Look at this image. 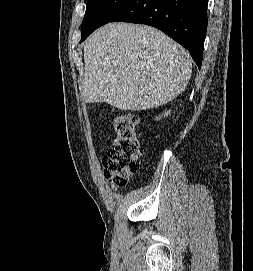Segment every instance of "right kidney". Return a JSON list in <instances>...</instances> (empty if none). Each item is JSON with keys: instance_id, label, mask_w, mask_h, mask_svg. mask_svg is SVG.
I'll return each instance as SVG.
<instances>
[{"instance_id": "1", "label": "right kidney", "mask_w": 253, "mask_h": 271, "mask_svg": "<svg viewBox=\"0 0 253 271\" xmlns=\"http://www.w3.org/2000/svg\"><path fill=\"white\" fill-rule=\"evenodd\" d=\"M170 114V111H167L164 113V116H168ZM160 119L159 117L157 118V120Z\"/></svg>"}]
</instances>
